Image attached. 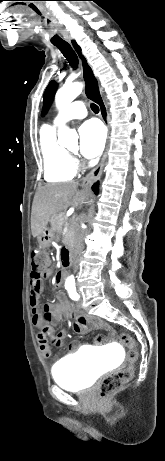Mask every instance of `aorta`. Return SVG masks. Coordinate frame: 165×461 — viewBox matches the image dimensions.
<instances>
[{"instance_id":"762f6f07","label":"aorta","mask_w":165,"mask_h":461,"mask_svg":"<svg viewBox=\"0 0 165 461\" xmlns=\"http://www.w3.org/2000/svg\"><path fill=\"white\" fill-rule=\"evenodd\" d=\"M83 85L82 83L75 82L71 84H65L60 88L55 95V103L58 109H62L68 106L81 92ZM78 136L76 132L72 131L66 126H61L58 130V143L66 148L71 147L77 143ZM73 277H69L72 280Z\"/></svg>"}]
</instances>
